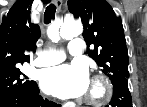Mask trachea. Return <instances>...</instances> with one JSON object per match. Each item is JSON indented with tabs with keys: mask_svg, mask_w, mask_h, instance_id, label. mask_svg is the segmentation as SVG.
Masks as SVG:
<instances>
[{
	"mask_svg": "<svg viewBox=\"0 0 147 107\" xmlns=\"http://www.w3.org/2000/svg\"><path fill=\"white\" fill-rule=\"evenodd\" d=\"M55 13L56 6L54 4L48 5L44 13V23L49 24L51 20L55 18Z\"/></svg>",
	"mask_w": 147,
	"mask_h": 107,
	"instance_id": "3493384b",
	"label": "trachea"
}]
</instances>
